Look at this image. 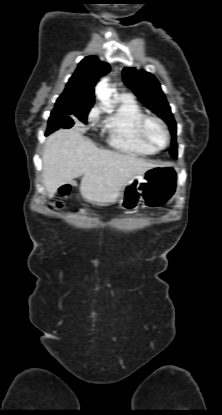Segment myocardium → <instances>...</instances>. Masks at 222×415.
I'll list each match as a JSON object with an SVG mask.
<instances>
[{
    "mask_svg": "<svg viewBox=\"0 0 222 415\" xmlns=\"http://www.w3.org/2000/svg\"><path fill=\"white\" fill-rule=\"evenodd\" d=\"M151 122H155L157 124H159L161 126V128L163 129V132L165 134V143L163 145H159L156 144L148 135V125ZM138 129H139V134L141 136V138L143 139V141L145 143H147L148 145H150L151 147L155 148L156 150H161L166 148L171 140V135H170V131L169 128L166 124V122L160 118L159 116L156 115H144L138 125Z\"/></svg>",
    "mask_w": 222,
    "mask_h": 415,
    "instance_id": "f54148a6",
    "label": "myocardium"
}]
</instances>
